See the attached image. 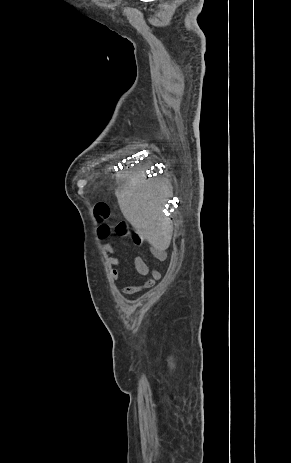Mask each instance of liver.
Here are the masks:
<instances>
[{
  "instance_id": "1",
  "label": "liver",
  "mask_w": 291,
  "mask_h": 463,
  "mask_svg": "<svg viewBox=\"0 0 291 463\" xmlns=\"http://www.w3.org/2000/svg\"><path fill=\"white\" fill-rule=\"evenodd\" d=\"M123 185L116 191L119 207L136 233L151 245L154 255L170 245L173 226L163 214L168 185L163 181L146 180L144 172L117 173Z\"/></svg>"
}]
</instances>
